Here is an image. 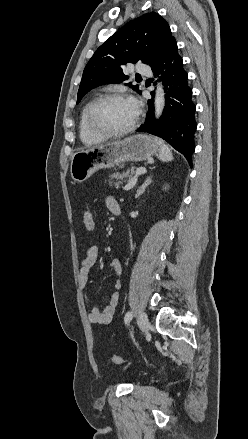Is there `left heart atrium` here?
<instances>
[{"instance_id": "obj_1", "label": "left heart atrium", "mask_w": 248, "mask_h": 439, "mask_svg": "<svg viewBox=\"0 0 248 439\" xmlns=\"http://www.w3.org/2000/svg\"><path fill=\"white\" fill-rule=\"evenodd\" d=\"M131 101V103L133 104V106L136 108V110L138 109V103H137V101L136 100H134V99H132V100H130Z\"/></svg>"}]
</instances>
